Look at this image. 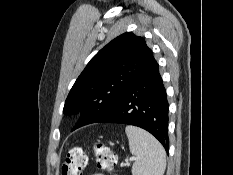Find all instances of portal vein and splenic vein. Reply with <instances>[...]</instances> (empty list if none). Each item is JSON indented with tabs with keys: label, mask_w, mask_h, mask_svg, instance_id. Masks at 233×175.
Here are the masks:
<instances>
[{
	"label": "portal vein and splenic vein",
	"mask_w": 233,
	"mask_h": 175,
	"mask_svg": "<svg viewBox=\"0 0 233 175\" xmlns=\"http://www.w3.org/2000/svg\"><path fill=\"white\" fill-rule=\"evenodd\" d=\"M134 160H135V158H134V157H131V158H130V161H134ZM127 164H128V163H127Z\"/></svg>",
	"instance_id": "1"
}]
</instances>
